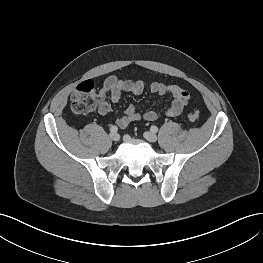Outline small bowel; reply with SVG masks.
<instances>
[{
	"label": "small bowel",
	"instance_id": "obj_1",
	"mask_svg": "<svg viewBox=\"0 0 263 263\" xmlns=\"http://www.w3.org/2000/svg\"><path fill=\"white\" fill-rule=\"evenodd\" d=\"M144 90L145 84L142 80H125L116 75H111L104 80L99 90L95 111L99 115H107L111 110V103L119 102L123 92L140 95ZM149 90L153 94L173 97L171 105L164 112L167 117L180 115L185 110L190 99L189 93L178 84H164L155 81L149 85ZM159 117L160 113L157 111H147L141 114L134 106L130 105L124 110L123 115L116 118L115 122L119 127L124 128L139 119L151 122Z\"/></svg>",
	"mask_w": 263,
	"mask_h": 263
}]
</instances>
